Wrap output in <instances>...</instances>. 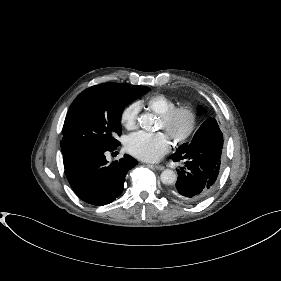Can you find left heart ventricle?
<instances>
[{
    "mask_svg": "<svg viewBox=\"0 0 281 281\" xmlns=\"http://www.w3.org/2000/svg\"><path fill=\"white\" fill-rule=\"evenodd\" d=\"M187 126V119L184 116L177 117L172 124L170 125L169 129L166 130L161 120L159 121V129L165 130L166 133L171 138L172 135H176L184 131Z\"/></svg>",
    "mask_w": 281,
    "mask_h": 281,
    "instance_id": "b2bd125f",
    "label": "left heart ventricle"
}]
</instances>
